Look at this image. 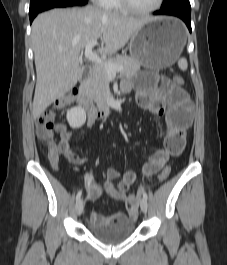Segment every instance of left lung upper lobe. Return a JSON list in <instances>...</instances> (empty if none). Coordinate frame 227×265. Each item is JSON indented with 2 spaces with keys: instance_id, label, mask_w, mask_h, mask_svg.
I'll return each mask as SVG.
<instances>
[{
  "instance_id": "5c2ea615",
  "label": "left lung upper lobe",
  "mask_w": 227,
  "mask_h": 265,
  "mask_svg": "<svg viewBox=\"0 0 227 265\" xmlns=\"http://www.w3.org/2000/svg\"><path fill=\"white\" fill-rule=\"evenodd\" d=\"M161 11H191L189 0H164Z\"/></svg>"
}]
</instances>
